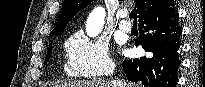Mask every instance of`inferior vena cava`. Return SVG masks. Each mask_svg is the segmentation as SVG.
Returning a JSON list of instances; mask_svg holds the SVG:
<instances>
[{"mask_svg": "<svg viewBox=\"0 0 205 87\" xmlns=\"http://www.w3.org/2000/svg\"><path fill=\"white\" fill-rule=\"evenodd\" d=\"M114 67H111L108 71H107V74L108 75H113V73H114ZM111 84H112V87H126V84L125 83H122V82H120V81H118V80H112L111 81Z\"/></svg>", "mask_w": 205, "mask_h": 87, "instance_id": "obj_1", "label": "inferior vena cava"}]
</instances>
